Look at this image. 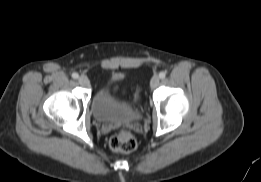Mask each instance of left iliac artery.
Segmentation results:
<instances>
[{
  "instance_id": "44dca946",
  "label": "left iliac artery",
  "mask_w": 261,
  "mask_h": 182,
  "mask_svg": "<svg viewBox=\"0 0 261 182\" xmlns=\"http://www.w3.org/2000/svg\"><path fill=\"white\" fill-rule=\"evenodd\" d=\"M159 77H160L161 79H164V78L166 77V73H165V72H160V73H159Z\"/></svg>"
}]
</instances>
